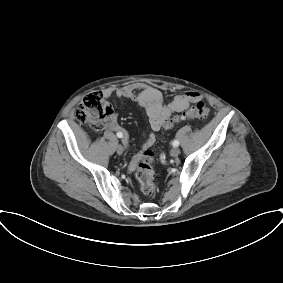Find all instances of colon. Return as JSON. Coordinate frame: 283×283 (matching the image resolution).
<instances>
[{
    "instance_id": "colon-1",
    "label": "colon",
    "mask_w": 283,
    "mask_h": 283,
    "mask_svg": "<svg viewBox=\"0 0 283 283\" xmlns=\"http://www.w3.org/2000/svg\"><path fill=\"white\" fill-rule=\"evenodd\" d=\"M209 113V107L204 102L198 101L187 111L185 116L174 117L167 122L166 126L171 127L185 117L204 119ZM112 115L111 104L100 92H91L85 95L74 112V117L79 123L89 124L96 130L105 128ZM136 177L144 195L152 196L155 194L157 184L153 169V156L148 150L141 154L136 165Z\"/></svg>"
}]
</instances>
